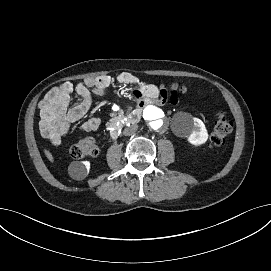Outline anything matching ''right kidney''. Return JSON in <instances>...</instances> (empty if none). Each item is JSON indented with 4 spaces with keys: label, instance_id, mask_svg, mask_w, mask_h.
Segmentation results:
<instances>
[{
    "label": "right kidney",
    "instance_id": "obj_1",
    "mask_svg": "<svg viewBox=\"0 0 271 271\" xmlns=\"http://www.w3.org/2000/svg\"><path fill=\"white\" fill-rule=\"evenodd\" d=\"M88 170L89 163L79 161L72 162L68 168L69 175L75 180H83L87 176Z\"/></svg>",
    "mask_w": 271,
    "mask_h": 271
}]
</instances>
